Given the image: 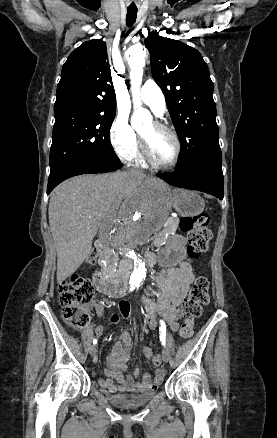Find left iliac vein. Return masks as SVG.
I'll return each instance as SVG.
<instances>
[{"mask_svg": "<svg viewBox=\"0 0 277 438\" xmlns=\"http://www.w3.org/2000/svg\"><path fill=\"white\" fill-rule=\"evenodd\" d=\"M162 358L164 362H168L170 360V354L167 349L162 350Z\"/></svg>", "mask_w": 277, "mask_h": 438, "instance_id": "1", "label": "left iliac vein"}]
</instances>
